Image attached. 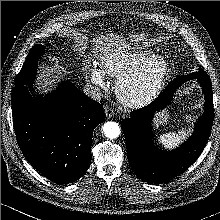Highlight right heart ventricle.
Returning a JSON list of instances; mask_svg holds the SVG:
<instances>
[{"label": "right heart ventricle", "instance_id": "e07e8e85", "mask_svg": "<svg viewBox=\"0 0 220 220\" xmlns=\"http://www.w3.org/2000/svg\"><path fill=\"white\" fill-rule=\"evenodd\" d=\"M150 54H152L151 50L141 48L112 53L100 60V69L105 75L119 78L139 65Z\"/></svg>", "mask_w": 220, "mask_h": 220}]
</instances>
